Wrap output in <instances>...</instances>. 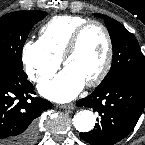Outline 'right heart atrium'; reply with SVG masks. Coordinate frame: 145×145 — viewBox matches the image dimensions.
I'll return each mask as SVG.
<instances>
[{
	"instance_id": "obj_1",
	"label": "right heart atrium",
	"mask_w": 145,
	"mask_h": 145,
	"mask_svg": "<svg viewBox=\"0 0 145 145\" xmlns=\"http://www.w3.org/2000/svg\"><path fill=\"white\" fill-rule=\"evenodd\" d=\"M22 61L28 78L41 83L54 76L60 59L50 55L39 41H27L22 49Z\"/></svg>"
}]
</instances>
